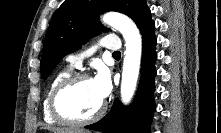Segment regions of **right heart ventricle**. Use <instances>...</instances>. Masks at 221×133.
<instances>
[{
    "label": "right heart ventricle",
    "mask_w": 221,
    "mask_h": 133,
    "mask_svg": "<svg viewBox=\"0 0 221 133\" xmlns=\"http://www.w3.org/2000/svg\"><path fill=\"white\" fill-rule=\"evenodd\" d=\"M72 74V68L71 67H66L60 71H58L53 78L50 80L45 95H44V99H43V103H42V112H43V118L44 120L49 123V124H59L60 122L55 119L49 109V98L50 95L53 91V89L55 88V86L62 81L63 79H65L66 77L70 76Z\"/></svg>",
    "instance_id": "right-heart-ventricle-1"
}]
</instances>
